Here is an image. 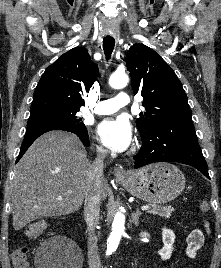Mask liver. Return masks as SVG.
<instances>
[{
    "label": "liver",
    "mask_w": 221,
    "mask_h": 268,
    "mask_svg": "<svg viewBox=\"0 0 221 268\" xmlns=\"http://www.w3.org/2000/svg\"><path fill=\"white\" fill-rule=\"evenodd\" d=\"M91 166L75 135L51 131L40 136L15 167L12 182L14 229H22L42 217L78 211L90 185ZM109 191L103 179L102 200Z\"/></svg>",
    "instance_id": "6515ba94"
}]
</instances>
